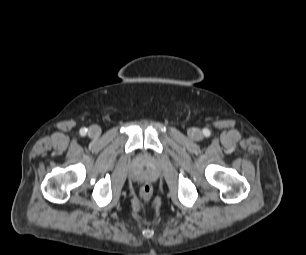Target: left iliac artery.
<instances>
[{
    "instance_id": "44dca946",
    "label": "left iliac artery",
    "mask_w": 306,
    "mask_h": 255,
    "mask_svg": "<svg viewBox=\"0 0 306 255\" xmlns=\"http://www.w3.org/2000/svg\"><path fill=\"white\" fill-rule=\"evenodd\" d=\"M203 133L205 136H209L210 135V131L208 129H204Z\"/></svg>"
}]
</instances>
